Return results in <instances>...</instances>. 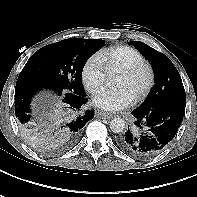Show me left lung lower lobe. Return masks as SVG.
Listing matches in <instances>:
<instances>
[{"instance_id": "1", "label": "left lung lower lobe", "mask_w": 197, "mask_h": 197, "mask_svg": "<svg viewBox=\"0 0 197 197\" xmlns=\"http://www.w3.org/2000/svg\"><path fill=\"white\" fill-rule=\"evenodd\" d=\"M186 97L163 100L149 110L132 111L134 127L118 138L119 147L135 158L145 159L162 152L174 139L180 127Z\"/></svg>"}]
</instances>
